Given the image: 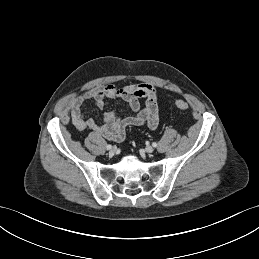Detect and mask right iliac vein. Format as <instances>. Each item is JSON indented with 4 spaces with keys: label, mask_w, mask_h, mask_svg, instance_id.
Segmentation results:
<instances>
[{
    "label": "right iliac vein",
    "mask_w": 259,
    "mask_h": 259,
    "mask_svg": "<svg viewBox=\"0 0 259 259\" xmlns=\"http://www.w3.org/2000/svg\"><path fill=\"white\" fill-rule=\"evenodd\" d=\"M116 151H117L116 147H113V148L109 151V155H110V156H114V155L116 154Z\"/></svg>",
    "instance_id": "right-iliac-vein-1"
}]
</instances>
